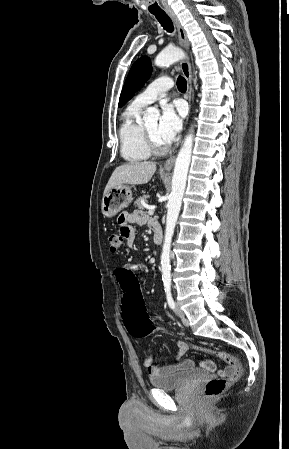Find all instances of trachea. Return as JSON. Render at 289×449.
<instances>
[{
	"label": "trachea",
	"mask_w": 289,
	"mask_h": 449,
	"mask_svg": "<svg viewBox=\"0 0 289 449\" xmlns=\"http://www.w3.org/2000/svg\"><path fill=\"white\" fill-rule=\"evenodd\" d=\"M161 26L167 31L172 33L174 31L173 23L170 17L166 13H153ZM177 88L181 92H185L187 89L186 79L182 76L177 78Z\"/></svg>",
	"instance_id": "1"
}]
</instances>
